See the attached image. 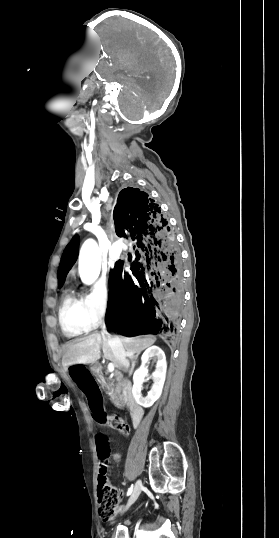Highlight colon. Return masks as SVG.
Segmentation results:
<instances>
[{
	"mask_svg": "<svg viewBox=\"0 0 279 538\" xmlns=\"http://www.w3.org/2000/svg\"><path fill=\"white\" fill-rule=\"evenodd\" d=\"M109 425L121 433H128L131 426L120 417H113ZM96 448L99 456V475H98V498L99 513L103 520H111L117 510L119 503V493L109 483L107 476V466L111 455V448L108 438L99 433L95 437Z\"/></svg>",
	"mask_w": 279,
	"mask_h": 538,
	"instance_id": "1",
	"label": "colon"
}]
</instances>
